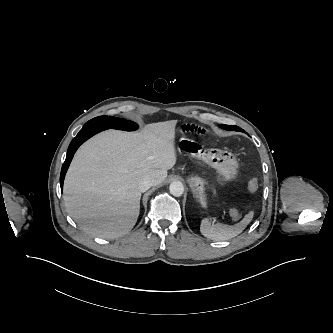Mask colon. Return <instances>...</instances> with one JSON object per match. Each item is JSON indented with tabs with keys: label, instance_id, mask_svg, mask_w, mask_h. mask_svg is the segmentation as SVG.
Wrapping results in <instances>:
<instances>
[{
	"label": "colon",
	"instance_id": "1",
	"mask_svg": "<svg viewBox=\"0 0 333 333\" xmlns=\"http://www.w3.org/2000/svg\"><path fill=\"white\" fill-rule=\"evenodd\" d=\"M258 186H259L258 181L256 179H251L247 184V189L250 193H254L257 191ZM230 217L233 220H239L241 218L240 210L237 208H232L230 210Z\"/></svg>",
	"mask_w": 333,
	"mask_h": 333
}]
</instances>
